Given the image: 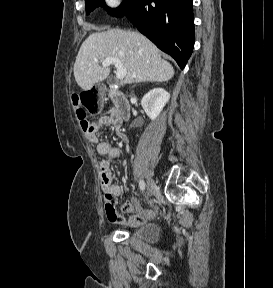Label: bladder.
<instances>
[{
  "instance_id": "31cf9c89",
  "label": "bladder",
  "mask_w": 273,
  "mask_h": 288,
  "mask_svg": "<svg viewBox=\"0 0 273 288\" xmlns=\"http://www.w3.org/2000/svg\"><path fill=\"white\" fill-rule=\"evenodd\" d=\"M160 231L155 224H144L137 227L132 233L131 238L145 245H153L159 239Z\"/></svg>"
}]
</instances>
